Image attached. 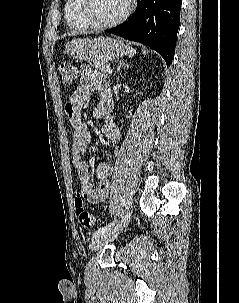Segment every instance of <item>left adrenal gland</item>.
Segmentation results:
<instances>
[{"instance_id": "a2214340", "label": "left adrenal gland", "mask_w": 239, "mask_h": 303, "mask_svg": "<svg viewBox=\"0 0 239 303\" xmlns=\"http://www.w3.org/2000/svg\"><path fill=\"white\" fill-rule=\"evenodd\" d=\"M128 67V64H126L124 61H120L119 66L116 70V72L114 73V76L120 71V69Z\"/></svg>"}]
</instances>
